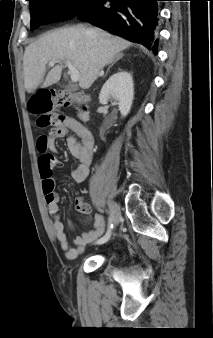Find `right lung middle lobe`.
Listing matches in <instances>:
<instances>
[{"label":"right lung middle lobe","mask_w":213,"mask_h":338,"mask_svg":"<svg viewBox=\"0 0 213 338\" xmlns=\"http://www.w3.org/2000/svg\"><path fill=\"white\" fill-rule=\"evenodd\" d=\"M96 0H29L32 30L43 24L69 20Z\"/></svg>","instance_id":"1"}]
</instances>
